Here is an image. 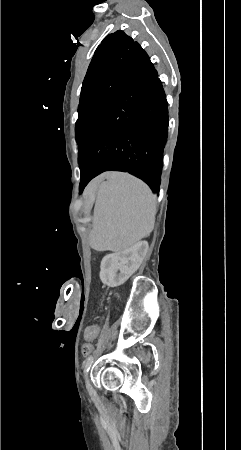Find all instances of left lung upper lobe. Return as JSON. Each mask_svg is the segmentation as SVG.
I'll list each match as a JSON object with an SVG mask.
<instances>
[{"label":"left lung upper lobe","mask_w":241,"mask_h":450,"mask_svg":"<svg viewBox=\"0 0 241 450\" xmlns=\"http://www.w3.org/2000/svg\"><path fill=\"white\" fill-rule=\"evenodd\" d=\"M135 43L124 32L116 31L96 49L82 84L78 106L75 133L79 155L97 120L117 101Z\"/></svg>","instance_id":"1"}]
</instances>
